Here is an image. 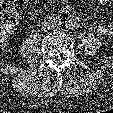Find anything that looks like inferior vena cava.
<instances>
[{"instance_id": "obj_1", "label": "inferior vena cava", "mask_w": 113, "mask_h": 113, "mask_svg": "<svg viewBox=\"0 0 113 113\" xmlns=\"http://www.w3.org/2000/svg\"><path fill=\"white\" fill-rule=\"evenodd\" d=\"M62 24L61 19L58 16H47L44 19L43 26L48 30H55Z\"/></svg>"}]
</instances>
